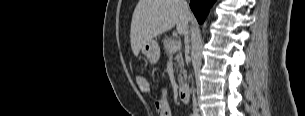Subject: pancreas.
<instances>
[{"instance_id": "1", "label": "pancreas", "mask_w": 305, "mask_h": 116, "mask_svg": "<svg viewBox=\"0 0 305 116\" xmlns=\"http://www.w3.org/2000/svg\"><path fill=\"white\" fill-rule=\"evenodd\" d=\"M175 42L174 39L172 38H168V37H165L163 39V45H164V50H165V53L169 56L172 54V52L170 51V46L172 45V43ZM176 61L178 63V67H180L182 69L183 65H184V61H183V57H182V54L179 52L177 55H176ZM182 82V78L180 77L179 78V83Z\"/></svg>"}]
</instances>
